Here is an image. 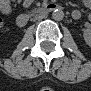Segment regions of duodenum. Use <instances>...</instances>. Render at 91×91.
Wrapping results in <instances>:
<instances>
[{"label":"duodenum","instance_id":"410a0bca","mask_svg":"<svg viewBox=\"0 0 91 91\" xmlns=\"http://www.w3.org/2000/svg\"><path fill=\"white\" fill-rule=\"evenodd\" d=\"M59 8H60V6L56 3H47L44 5H41L28 12H24V13L18 15V17L16 19V24L18 27H24L32 18H34L36 16L48 14Z\"/></svg>","mask_w":91,"mask_h":91}]
</instances>
